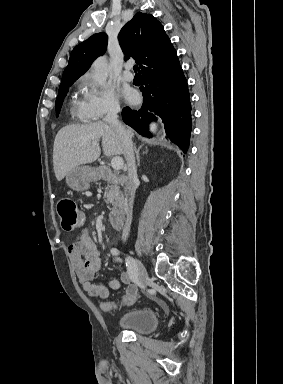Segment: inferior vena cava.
<instances>
[{
  "label": "inferior vena cava",
  "instance_id": "inferior-vena-cava-1",
  "mask_svg": "<svg viewBox=\"0 0 283 384\" xmlns=\"http://www.w3.org/2000/svg\"><path fill=\"white\" fill-rule=\"evenodd\" d=\"M118 112H121V108L119 104H111L108 108L107 116L104 118V122H108V124H112L115 126L119 132V136L121 138V142L124 146V158L128 164V178H129V200H127L128 204H126L127 208V216L125 220V226L122 232V240H126L129 232L130 226L132 222V208L134 202V196L136 192V180H137V172H136V164L135 158L133 154V144L130 136H128L126 130H124L122 124H120L118 120Z\"/></svg>",
  "mask_w": 283,
  "mask_h": 384
}]
</instances>
